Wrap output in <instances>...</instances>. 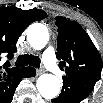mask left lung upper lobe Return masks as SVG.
Instances as JSON below:
<instances>
[{"mask_svg":"<svg viewBox=\"0 0 103 103\" xmlns=\"http://www.w3.org/2000/svg\"><path fill=\"white\" fill-rule=\"evenodd\" d=\"M58 27L57 59L60 67H65L66 76L96 83L101 77L102 60L89 35L75 21L56 17Z\"/></svg>","mask_w":103,"mask_h":103,"instance_id":"1","label":"left lung upper lobe"}]
</instances>
